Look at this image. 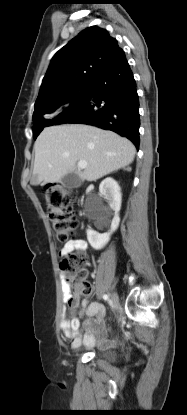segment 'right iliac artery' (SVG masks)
I'll use <instances>...</instances> for the list:
<instances>
[{"label":"right iliac artery","instance_id":"obj_1","mask_svg":"<svg viewBox=\"0 0 187 415\" xmlns=\"http://www.w3.org/2000/svg\"><path fill=\"white\" fill-rule=\"evenodd\" d=\"M104 300H109V296L107 294L103 295Z\"/></svg>","mask_w":187,"mask_h":415}]
</instances>
